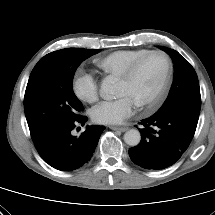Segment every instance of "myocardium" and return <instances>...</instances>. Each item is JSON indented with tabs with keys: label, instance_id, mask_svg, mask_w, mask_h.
Segmentation results:
<instances>
[{
	"label": "myocardium",
	"instance_id": "obj_1",
	"mask_svg": "<svg viewBox=\"0 0 215 215\" xmlns=\"http://www.w3.org/2000/svg\"><path fill=\"white\" fill-rule=\"evenodd\" d=\"M152 55H160L164 58L166 62L165 74H164L162 83L159 86L158 90L155 92V94L146 102H143L137 105L140 108H147V109L153 108L158 104L163 94L165 93L172 73V60L170 56L162 50H149L146 53L139 56L137 59H135L119 77V79L122 81L130 80L134 76L135 72L137 71L141 63L147 57Z\"/></svg>",
	"mask_w": 215,
	"mask_h": 215
}]
</instances>
